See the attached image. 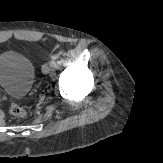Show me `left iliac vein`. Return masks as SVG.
<instances>
[{"mask_svg": "<svg viewBox=\"0 0 163 163\" xmlns=\"http://www.w3.org/2000/svg\"><path fill=\"white\" fill-rule=\"evenodd\" d=\"M51 70V64L50 63H45L43 66H42V72L44 74H48Z\"/></svg>", "mask_w": 163, "mask_h": 163, "instance_id": "left-iliac-vein-1", "label": "left iliac vein"}]
</instances>
